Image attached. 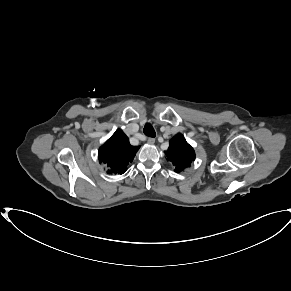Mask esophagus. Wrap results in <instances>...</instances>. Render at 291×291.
I'll list each match as a JSON object with an SVG mask.
<instances>
[{
    "instance_id": "1",
    "label": "esophagus",
    "mask_w": 291,
    "mask_h": 291,
    "mask_svg": "<svg viewBox=\"0 0 291 291\" xmlns=\"http://www.w3.org/2000/svg\"><path fill=\"white\" fill-rule=\"evenodd\" d=\"M147 143L148 144H154L155 143V139L154 138H148Z\"/></svg>"
}]
</instances>
